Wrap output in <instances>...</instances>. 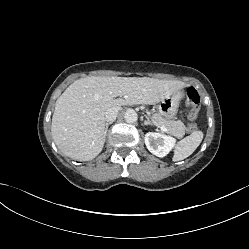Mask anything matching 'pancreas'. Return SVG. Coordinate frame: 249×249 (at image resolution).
Masks as SVG:
<instances>
[{"label": "pancreas", "instance_id": "pancreas-1", "mask_svg": "<svg viewBox=\"0 0 249 249\" xmlns=\"http://www.w3.org/2000/svg\"><path fill=\"white\" fill-rule=\"evenodd\" d=\"M152 121L157 126H164L167 128V133L173 135L177 138H182L185 134L186 127L184 123L180 120H166L159 113L152 115Z\"/></svg>", "mask_w": 249, "mask_h": 249}]
</instances>
